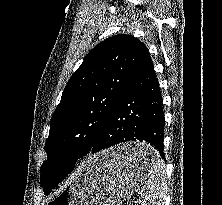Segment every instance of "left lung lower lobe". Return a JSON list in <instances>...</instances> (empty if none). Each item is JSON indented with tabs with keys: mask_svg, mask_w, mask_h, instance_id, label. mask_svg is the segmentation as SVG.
<instances>
[{
	"mask_svg": "<svg viewBox=\"0 0 222 205\" xmlns=\"http://www.w3.org/2000/svg\"><path fill=\"white\" fill-rule=\"evenodd\" d=\"M164 125L159 83L151 56L145 49L89 152L94 154L122 142L141 141L152 145L165 159L163 153ZM79 157L82 156L71 153L60 156L56 169L61 170L62 178H65L74 169ZM153 158V154L142 150L128 155L126 161L136 166H151Z\"/></svg>",
	"mask_w": 222,
	"mask_h": 205,
	"instance_id": "0a47b994",
	"label": "left lung lower lobe"
}]
</instances>
